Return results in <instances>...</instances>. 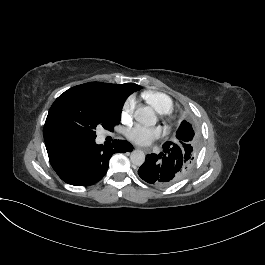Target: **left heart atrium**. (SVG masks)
<instances>
[{
	"label": "left heart atrium",
	"instance_id": "39dd6f15",
	"mask_svg": "<svg viewBox=\"0 0 265 265\" xmlns=\"http://www.w3.org/2000/svg\"><path fill=\"white\" fill-rule=\"evenodd\" d=\"M162 134L159 127H152L150 125L136 124L127 132V137L139 144H149L154 139H157Z\"/></svg>",
	"mask_w": 265,
	"mask_h": 265
}]
</instances>
